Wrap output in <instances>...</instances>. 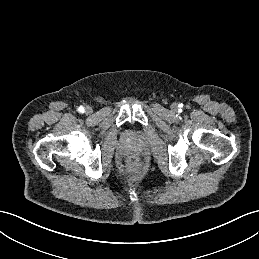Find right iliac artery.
Instances as JSON below:
<instances>
[{
	"label": "right iliac artery",
	"instance_id": "82829eb1",
	"mask_svg": "<svg viewBox=\"0 0 259 259\" xmlns=\"http://www.w3.org/2000/svg\"><path fill=\"white\" fill-rule=\"evenodd\" d=\"M78 111L80 112V113H84V107L83 106H80L79 108H78Z\"/></svg>",
	"mask_w": 259,
	"mask_h": 259
}]
</instances>
